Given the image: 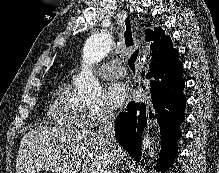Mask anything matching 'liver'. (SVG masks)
<instances>
[{
    "label": "liver",
    "mask_w": 219,
    "mask_h": 173,
    "mask_svg": "<svg viewBox=\"0 0 219 173\" xmlns=\"http://www.w3.org/2000/svg\"><path fill=\"white\" fill-rule=\"evenodd\" d=\"M108 155L107 145L97 133L37 127L20 142L16 173H108ZM123 159L119 148L118 163Z\"/></svg>",
    "instance_id": "obj_1"
}]
</instances>
